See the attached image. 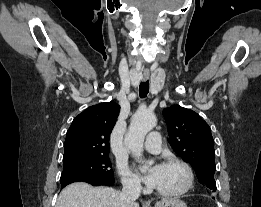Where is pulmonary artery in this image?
<instances>
[{
	"label": "pulmonary artery",
	"instance_id": "e3ab8cb5",
	"mask_svg": "<svg viewBox=\"0 0 261 207\" xmlns=\"http://www.w3.org/2000/svg\"><path fill=\"white\" fill-rule=\"evenodd\" d=\"M145 149L150 153H159L161 150V137L156 131L150 132L145 141Z\"/></svg>",
	"mask_w": 261,
	"mask_h": 207
}]
</instances>
